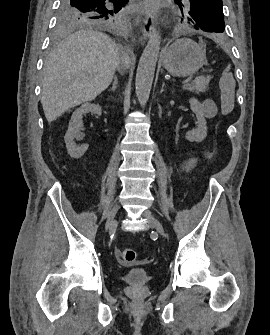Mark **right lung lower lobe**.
<instances>
[{"instance_id": "98d812e1", "label": "right lung lower lobe", "mask_w": 270, "mask_h": 335, "mask_svg": "<svg viewBox=\"0 0 270 335\" xmlns=\"http://www.w3.org/2000/svg\"><path fill=\"white\" fill-rule=\"evenodd\" d=\"M111 2H114V3H117V4H123L124 6H125V4H126V2L128 1V0H121V1H119V0H110ZM109 0H106L105 2H106V5L107 4H110L109 2H110Z\"/></svg>"}]
</instances>
